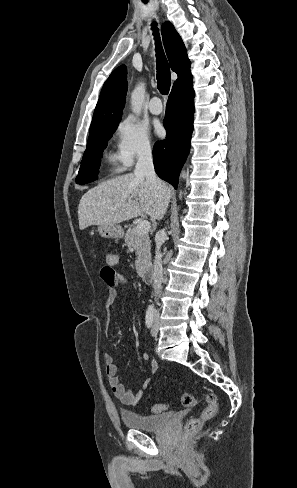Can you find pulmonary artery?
Wrapping results in <instances>:
<instances>
[{
	"mask_svg": "<svg viewBox=\"0 0 297 488\" xmlns=\"http://www.w3.org/2000/svg\"><path fill=\"white\" fill-rule=\"evenodd\" d=\"M149 111L154 115H159L163 111L161 101L158 97H153L149 103Z\"/></svg>",
	"mask_w": 297,
	"mask_h": 488,
	"instance_id": "pulmonary-artery-1",
	"label": "pulmonary artery"
}]
</instances>
